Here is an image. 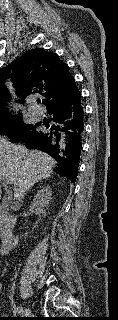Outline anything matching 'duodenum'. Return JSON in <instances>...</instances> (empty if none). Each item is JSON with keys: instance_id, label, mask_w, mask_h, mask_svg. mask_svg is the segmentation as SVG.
Listing matches in <instances>:
<instances>
[{"instance_id": "410a0bca", "label": "duodenum", "mask_w": 118, "mask_h": 320, "mask_svg": "<svg viewBox=\"0 0 118 320\" xmlns=\"http://www.w3.org/2000/svg\"><path fill=\"white\" fill-rule=\"evenodd\" d=\"M1 225V236L2 242L0 246V253L5 255L8 254L17 244V236L14 233L15 219L10 215L0 216Z\"/></svg>"}]
</instances>
